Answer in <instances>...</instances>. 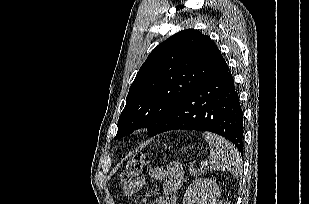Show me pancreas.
<instances>
[{"label":"pancreas","instance_id":"pancreas-1","mask_svg":"<svg viewBox=\"0 0 309 204\" xmlns=\"http://www.w3.org/2000/svg\"><path fill=\"white\" fill-rule=\"evenodd\" d=\"M189 172H190L191 175L198 176V175L204 173V172H205V169H204V168H201V167H200L199 169H197V168L191 166V167L189 168Z\"/></svg>","mask_w":309,"mask_h":204}]
</instances>
